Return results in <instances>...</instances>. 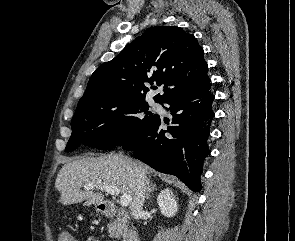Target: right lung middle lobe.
<instances>
[{"label": "right lung middle lobe", "mask_w": 295, "mask_h": 241, "mask_svg": "<svg viewBox=\"0 0 295 241\" xmlns=\"http://www.w3.org/2000/svg\"><path fill=\"white\" fill-rule=\"evenodd\" d=\"M157 117L148 112L146 102L117 97L79 102L66 151H73L81 144L112 149L141 133Z\"/></svg>", "instance_id": "dd1d6c3e"}]
</instances>
